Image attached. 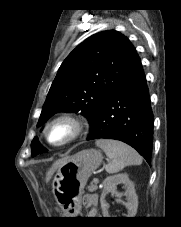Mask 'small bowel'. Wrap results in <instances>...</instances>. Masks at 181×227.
Listing matches in <instances>:
<instances>
[{"mask_svg": "<svg viewBox=\"0 0 181 227\" xmlns=\"http://www.w3.org/2000/svg\"><path fill=\"white\" fill-rule=\"evenodd\" d=\"M98 195L97 194H86L83 198V203L86 207L90 208L89 216L95 217L97 216V205H98Z\"/></svg>", "mask_w": 181, "mask_h": 227, "instance_id": "small-bowel-1", "label": "small bowel"}]
</instances>
